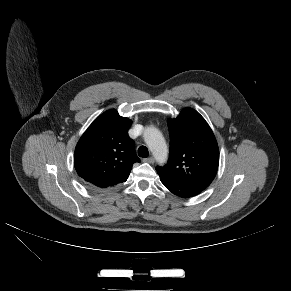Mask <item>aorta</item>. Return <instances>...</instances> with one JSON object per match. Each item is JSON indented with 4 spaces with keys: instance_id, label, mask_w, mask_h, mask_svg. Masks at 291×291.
<instances>
[{
    "instance_id": "762f6f07",
    "label": "aorta",
    "mask_w": 291,
    "mask_h": 291,
    "mask_svg": "<svg viewBox=\"0 0 291 291\" xmlns=\"http://www.w3.org/2000/svg\"><path fill=\"white\" fill-rule=\"evenodd\" d=\"M143 136L156 161L163 164L167 160L168 148L162 133L155 127H148Z\"/></svg>"
}]
</instances>
